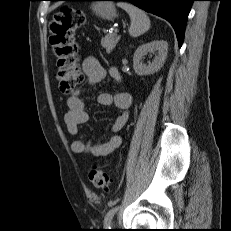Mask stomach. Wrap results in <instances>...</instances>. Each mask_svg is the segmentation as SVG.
I'll list each match as a JSON object with an SVG mask.
<instances>
[{"label": "stomach", "instance_id": "1", "mask_svg": "<svg viewBox=\"0 0 231 231\" xmlns=\"http://www.w3.org/2000/svg\"><path fill=\"white\" fill-rule=\"evenodd\" d=\"M93 12L106 20H113L117 14L112 2H95L92 5Z\"/></svg>", "mask_w": 231, "mask_h": 231}]
</instances>
